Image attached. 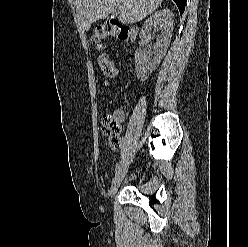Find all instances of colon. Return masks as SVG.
I'll return each instance as SVG.
<instances>
[{
    "label": "colon",
    "instance_id": "obj_1",
    "mask_svg": "<svg viewBox=\"0 0 248 247\" xmlns=\"http://www.w3.org/2000/svg\"><path fill=\"white\" fill-rule=\"evenodd\" d=\"M116 38L121 41H128L130 38L129 28L117 20L110 19L96 27L94 30L92 40L101 48V41L106 38ZM99 64L102 73L107 77H115L118 74V69L112 61L108 59L105 54L99 57ZM103 133L108 136L113 147L119 145V131L120 127L113 115H105L102 119Z\"/></svg>",
    "mask_w": 248,
    "mask_h": 247
}]
</instances>
